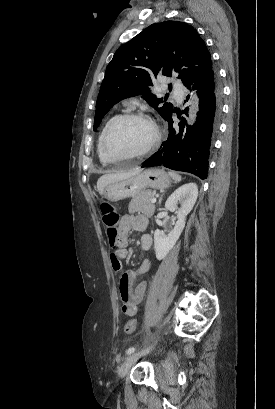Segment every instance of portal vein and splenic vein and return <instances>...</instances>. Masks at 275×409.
<instances>
[{
    "mask_svg": "<svg viewBox=\"0 0 275 409\" xmlns=\"http://www.w3.org/2000/svg\"><path fill=\"white\" fill-rule=\"evenodd\" d=\"M151 202H156V198H152Z\"/></svg>",
    "mask_w": 275,
    "mask_h": 409,
    "instance_id": "portal-vein-and-splenic-vein-1",
    "label": "portal vein and splenic vein"
}]
</instances>
